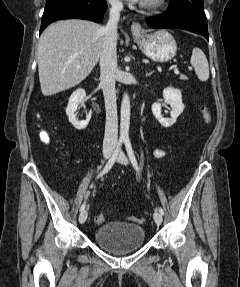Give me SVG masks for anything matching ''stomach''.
<instances>
[{"label": "stomach", "instance_id": "0dacf381", "mask_svg": "<svg viewBox=\"0 0 240 287\" xmlns=\"http://www.w3.org/2000/svg\"><path fill=\"white\" fill-rule=\"evenodd\" d=\"M133 36L141 51L154 61L167 62L176 56V41L167 30H158L151 34L134 33Z\"/></svg>", "mask_w": 240, "mask_h": 287}]
</instances>
